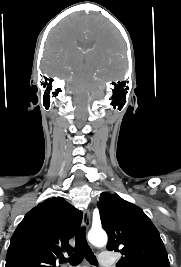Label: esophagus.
Listing matches in <instances>:
<instances>
[{"label": "esophagus", "mask_w": 181, "mask_h": 267, "mask_svg": "<svg viewBox=\"0 0 181 267\" xmlns=\"http://www.w3.org/2000/svg\"><path fill=\"white\" fill-rule=\"evenodd\" d=\"M91 223V216L90 211L88 209H85L83 212V226L88 229L90 227Z\"/></svg>", "instance_id": "34e87169"}]
</instances>
